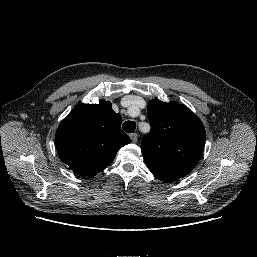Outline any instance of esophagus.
<instances>
[{"label": "esophagus", "mask_w": 257, "mask_h": 257, "mask_svg": "<svg viewBox=\"0 0 257 257\" xmlns=\"http://www.w3.org/2000/svg\"><path fill=\"white\" fill-rule=\"evenodd\" d=\"M130 138H131L132 142L136 143L138 140V135L136 133H132V134H130Z\"/></svg>", "instance_id": "esophagus-1"}]
</instances>
